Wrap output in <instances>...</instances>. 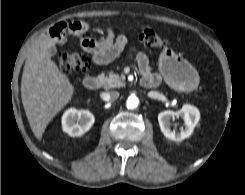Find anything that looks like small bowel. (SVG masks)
I'll return each instance as SVG.
<instances>
[{
	"label": "small bowel",
	"mask_w": 245,
	"mask_h": 195,
	"mask_svg": "<svg viewBox=\"0 0 245 195\" xmlns=\"http://www.w3.org/2000/svg\"><path fill=\"white\" fill-rule=\"evenodd\" d=\"M89 24L84 21L60 22L50 30V36L57 42H64V35L67 31L80 36L81 47L92 54V60L97 65H104L113 61L127 45L125 35H116L112 28H108L106 36L102 40H96L84 35L89 29ZM136 60L143 73L150 74L149 59L144 52L136 53ZM153 75V74H152ZM156 76V75H155Z\"/></svg>",
	"instance_id": "small-bowel-1"
}]
</instances>
